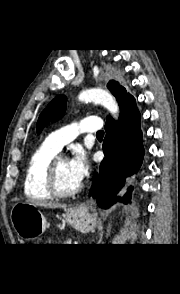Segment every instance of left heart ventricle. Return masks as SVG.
Instances as JSON below:
<instances>
[{
	"label": "left heart ventricle",
	"mask_w": 180,
	"mask_h": 294,
	"mask_svg": "<svg viewBox=\"0 0 180 294\" xmlns=\"http://www.w3.org/2000/svg\"><path fill=\"white\" fill-rule=\"evenodd\" d=\"M57 183L62 191L68 192L76 189L79 184L73 178L68 161L61 160L57 166Z\"/></svg>",
	"instance_id": "left-heart-ventricle-1"
}]
</instances>
